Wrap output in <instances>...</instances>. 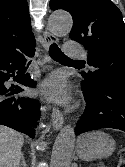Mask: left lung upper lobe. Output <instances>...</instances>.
Segmentation results:
<instances>
[{"instance_id": "obj_1", "label": "left lung upper lobe", "mask_w": 125, "mask_h": 167, "mask_svg": "<svg viewBox=\"0 0 125 167\" xmlns=\"http://www.w3.org/2000/svg\"><path fill=\"white\" fill-rule=\"evenodd\" d=\"M50 8L72 15L70 38L88 50L95 71L82 73L83 90L92 91L104 80L125 81V23L111 0H51Z\"/></svg>"}]
</instances>
